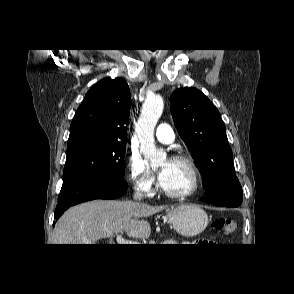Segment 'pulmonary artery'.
Instances as JSON below:
<instances>
[{
	"mask_svg": "<svg viewBox=\"0 0 294 294\" xmlns=\"http://www.w3.org/2000/svg\"><path fill=\"white\" fill-rule=\"evenodd\" d=\"M156 138L159 142L169 144L174 141V133L167 123H161L156 128Z\"/></svg>",
	"mask_w": 294,
	"mask_h": 294,
	"instance_id": "pulmonary-artery-1",
	"label": "pulmonary artery"
}]
</instances>
